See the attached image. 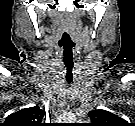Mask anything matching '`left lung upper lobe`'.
<instances>
[{
  "label": "left lung upper lobe",
  "instance_id": "1",
  "mask_svg": "<svg viewBox=\"0 0 135 126\" xmlns=\"http://www.w3.org/2000/svg\"><path fill=\"white\" fill-rule=\"evenodd\" d=\"M93 126H117L123 119L106 110H93L88 113Z\"/></svg>",
  "mask_w": 135,
  "mask_h": 126
}]
</instances>
